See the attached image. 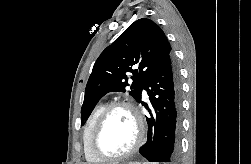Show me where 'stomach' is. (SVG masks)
<instances>
[{
	"label": "stomach",
	"mask_w": 251,
	"mask_h": 164,
	"mask_svg": "<svg viewBox=\"0 0 251 164\" xmlns=\"http://www.w3.org/2000/svg\"><path fill=\"white\" fill-rule=\"evenodd\" d=\"M128 164H141V163H139V162H135V163H128Z\"/></svg>",
	"instance_id": "stomach-1"
}]
</instances>
